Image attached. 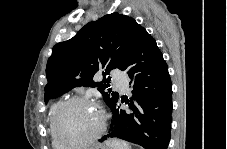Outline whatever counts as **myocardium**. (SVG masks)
I'll list each match as a JSON object with an SVG mask.
<instances>
[{
  "mask_svg": "<svg viewBox=\"0 0 227 149\" xmlns=\"http://www.w3.org/2000/svg\"><path fill=\"white\" fill-rule=\"evenodd\" d=\"M78 102L93 104L100 113V124H99V127L97 128V130L88 138H86L84 140H80V141H66L61 136V133H60V127H59L60 117H61L63 110L68 105L73 104V103H78ZM106 120H107L106 112L97 101H95L91 98L85 97V96H73V97H70V98L62 101L58 105V107L54 113V116H53V131H54V135H55L57 142L61 146H66V147L90 146L94 142H96L101 137V135L104 133L105 128H106Z\"/></svg>",
  "mask_w": 227,
  "mask_h": 149,
  "instance_id": "myocardium-1",
  "label": "myocardium"
}]
</instances>
